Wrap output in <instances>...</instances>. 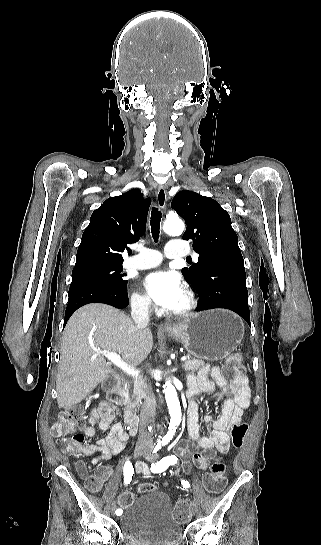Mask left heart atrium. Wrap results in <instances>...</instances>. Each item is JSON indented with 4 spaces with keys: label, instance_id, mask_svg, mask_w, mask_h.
<instances>
[{
    "label": "left heart atrium",
    "instance_id": "1",
    "mask_svg": "<svg viewBox=\"0 0 321 545\" xmlns=\"http://www.w3.org/2000/svg\"><path fill=\"white\" fill-rule=\"evenodd\" d=\"M142 286L161 312L173 311L184 291V283L174 271H153L143 278Z\"/></svg>",
    "mask_w": 321,
    "mask_h": 545
}]
</instances>
